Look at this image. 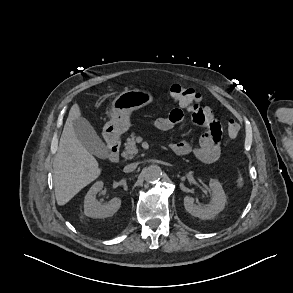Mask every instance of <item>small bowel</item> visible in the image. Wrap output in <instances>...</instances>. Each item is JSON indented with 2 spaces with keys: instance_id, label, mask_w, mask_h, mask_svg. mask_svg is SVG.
I'll use <instances>...</instances> for the list:
<instances>
[{
  "instance_id": "small-bowel-1",
  "label": "small bowel",
  "mask_w": 293,
  "mask_h": 293,
  "mask_svg": "<svg viewBox=\"0 0 293 293\" xmlns=\"http://www.w3.org/2000/svg\"><path fill=\"white\" fill-rule=\"evenodd\" d=\"M187 112L192 114L194 125L205 129L200 136L199 145L197 147H192L189 142L182 140L173 144L171 149L178 155L193 154L204 163L215 162L220 156L222 132L213 110L210 107H201L198 103L193 111ZM183 117V108H175L167 117L155 119L153 121V126L159 130L167 131L178 126L182 122Z\"/></svg>"
}]
</instances>
